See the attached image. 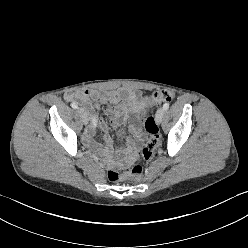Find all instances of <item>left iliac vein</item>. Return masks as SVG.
<instances>
[{
    "mask_svg": "<svg viewBox=\"0 0 248 248\" xmlns=\"http://www.w3.org/2000/svg\"><path fill=\"white\" fill-rule=\"evenodd\" d=\"M165 114V109L164 108H159L156 112L155 118L157 123H161L163 116Z\"/></svg>",
    "mask_w": 248,
    "mask_h": 248,
    "instance_id": "1",
    "label": "left iliac vein"
}]
</instances>
